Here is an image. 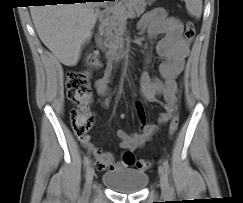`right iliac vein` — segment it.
<instances>
[{
	"mask_svg": "<svg viewBox=\"0 0 243 203\" xmlns=\"http://www.w3.org/2000/svg\"><path fill=\"white\" fill-rule=\"evenodd\" d=\"M93 177H94V168L93 166L90 165L87 168V172H86V180H85V188H84V192L86 195L90 194L91 192Z\"/></svg>",
	"mask_w": 243,
	"mask_h": 203,
	"instance_id": "right-iliac-vein-1",
	"label": "right iliac vein"
}]
</instances>
